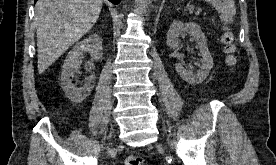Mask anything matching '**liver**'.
I'll return each instance as SVG.
<instances>
[{
    "label": "liver",
    "mask_w": 276,
    "mask_h": 165,
    "mask_svg": "<svg viewBox=\"0 0 276 165\" xmlns=\"http://www.w3.org/2000/svg\"><path fill=\"white\" fill-rule=\"evenodd\" d=\"M102 0H38L35 6L38 72H45L96 23Z\"/></svg>",
    "instance_id": "1"
}]
</instances>
